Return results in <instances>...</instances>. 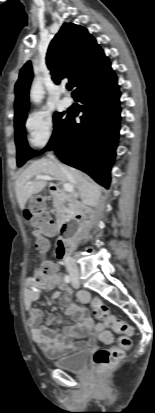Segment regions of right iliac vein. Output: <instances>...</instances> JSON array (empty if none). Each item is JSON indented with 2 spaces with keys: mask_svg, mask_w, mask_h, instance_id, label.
<instances>
[{
  "mask_svg": "<svg viewBox=\"0 0 155 413\" xmlns=\"http://www.w3.org/2000/svg\"><path fill=\"white\" fill-rule=\"evenodd\" d=\"M78 276H79L78 274H74V275H73V278H76V279H77Z\"/></svg>",
  "mask_w": 155,
  "mask_h": 413,
  "instance_id": "obj_1",
  "label": "right iliac vein"
}]
</instances>
